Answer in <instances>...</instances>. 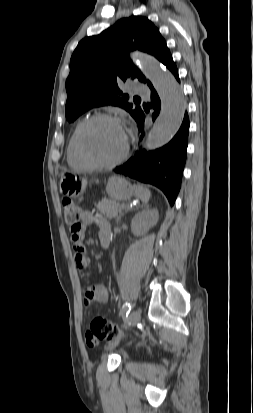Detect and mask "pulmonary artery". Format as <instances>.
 <instances>
[{
  "label": "pulmonary artery",
  "instance_id": "pulmonary-artery-1",
  "mask_svg": "<svg viewBox=\"0 0 253 413\" xmlns=\"http://www.w3.org/2000/svg\"><path fill=\"white\" fill-rule=\"evenodd\" d=\"M133 90L136 94L142 95V96H149V88L145 85L142 84H135L133 87Z\"/></svg>",
  "mask_w": 253,
  "mask_h": 413
}]
</instances>
